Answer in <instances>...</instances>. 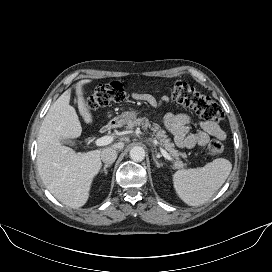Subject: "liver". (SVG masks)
<instances>
[{
	"label": "liver",
	"mask_w": 272,
	"mask_h": 272,
	"mask_svg": "<svg viewBox=\"0 0 272 272\" xmlns=\"http://www.w3.org/2000/svg\"><path fill=\"white\" fill-rule=\"evenodd\" d=\"M91 80H81L75 85L78 109L87 124L92 115L83 97V85ZM71 91H65L50 107L37 137V167L39 175L50 193L64 205L77 209L85 205L94 177L101 163V150L87 153L75 152L64 146L62 139H74L82 128L75 109L70 105ZM124 143L112 145L122 149Z\"/></svg>",
	"instance_id": "liver-1"
}]
</instances>
